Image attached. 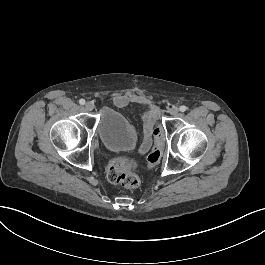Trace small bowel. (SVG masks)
Listing matches in <instances>:
<instances>
[{"instance_id": "obj_1", "label": "small bowel", "mask_w": 265, "mask_h": 265, "mask_svg": "<svg viewBox=\"0 0 265 265\" xmlns=\"http://www.w3.org/2000/svg\"><path fill=\"white\" fill-rule=\"evenodd\" d=\"M113 103L118 108L126 107L129 103H132L135 107L143 106V108L147 109V111L143 115L144 138L139 148V152L141 154L147 153L151 147L153 126L156 115L160 112L159 107L154 106L150 108V101L144 100V98L138 97L135 94L115 93L113 95Z\"/></svg>"}]
</instances>
